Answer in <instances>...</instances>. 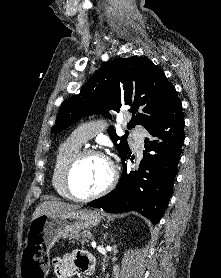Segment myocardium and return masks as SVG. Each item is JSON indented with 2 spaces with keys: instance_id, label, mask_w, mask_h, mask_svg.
<instances>
[{
  "instance_id": "obj_1",
  "label": "myocardium",
  "mask_w": 221,
  "mask_h": 278,
  "mask_svg": "<svg viewBox=\"0 0 221 278\" xmlns=\"http://www.w3.org/2000/svg\"><path fill=\"white\" fill-rule=\"evenodd\" d=\"M91 155L99 156L107 162V164L109 166V170H110V178H109L107 184L101 190H99L95 193H92V194L81 196V195H78L74 191V189L71 185V176H72V173H73L75 167L77 166V164L83 158H85L87 156H91ZM117 181H118V171H117V167H116L115 163L102 151L94 149V148H83V149H80L79 151H77L68 161V163L64 169V173H63V184H64V188H65L67 194L69 195L70 199H73V200L79 201V202L90 201V200H93L95 198H98V197L108 193L115 187Z\"/></svg>"
}]
</instances>
